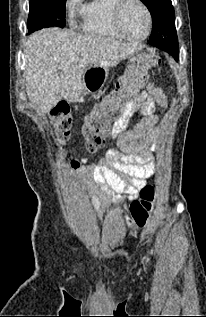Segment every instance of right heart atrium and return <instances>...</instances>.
I'll list each match as a JSON object with an SVG mask.
<instances>
[{
    "label": "right heart atrium",
    "mask_w": 206,
    "mask_h": 317,
    "mask_svg": "<svg viewBox=\"0 0 206 317\" xmlns=\"http://www.w3.org/2000/svg\"><path fill=\"white\" fill-rule=\"evenodd\" d=\"M65 6L70 13V19L77 15H81L83 9V0H66Z\"/></svg>",
    "instance_id": "right-heart-atrium-1"
}]
</instances>
